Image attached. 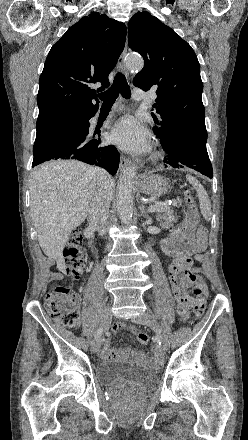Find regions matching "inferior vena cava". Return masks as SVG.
Segmentation results:
<instances>
[{"instance_id": "obj_1", "label": "inferior vena cava", "mask_w": 248, "mask_h": 440, "mask_svg": "<svg viewBox=\"0 0 248 440\" xmlns=\"http://www.w3.org/2000/svg\"><path fill=\"white\" fill-rule=\"evenodd\" d=\"M93 176L96 189L90 202L87 219L91 229L105 232L111 201L112 179L108 172L101 168H94Z\"/></svg>"}]
</instances>
